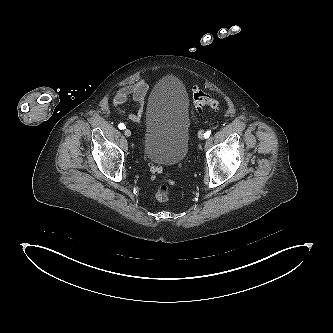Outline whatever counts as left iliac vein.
Here are the masks:
<instances>
[{
  "label": "left iliac vein",
  "mask_w": 333,
  "mask_h": 333,
  "mask_svg": "<svg viewBox=\"0 0 333 333\" xmlns=\"http://www.w3.org/2000/svg\"><path fill=\"white\" fill-rule=\"evenodd\" d=\"M198 137H199L200 139H203V138H204V131H203V130H200V131L198 132Z\"/></svg>",
  "instance_id": "4c4485c4"
}]
</instances>
